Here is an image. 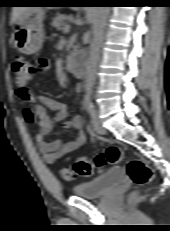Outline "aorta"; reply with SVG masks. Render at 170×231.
Instances as JSON below:
<instances>
[{
	"label": "aorta",
	"mask_w": 170,
	"mask_h": 231,
	"mask_svg": "<svg viewBox=\"0 0 170 231\" xmlns=\"http://www.w3.org/2000/svg\"><path fill=\"white\" fill-rule=\"evenodd\" d=\"M109 13V7L97 6L93 10V38L89 49L84 82L86 90H91L96 78L97 65L100 59L104 36V27Z\"/></svg>",
	"instance_id": "762f6f07"
}]
</instances>
